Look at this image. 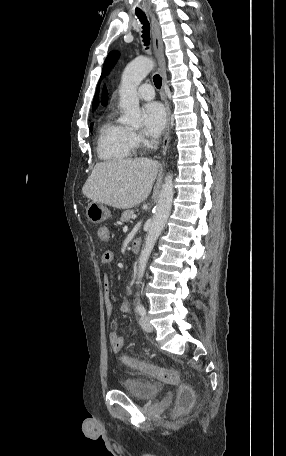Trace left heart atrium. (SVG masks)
<instances>
[{"mask_svg":"<svg viewBox=\"0 0 286 456\" xmlns=\"http://www.w3.org/2000/svg\"><path fill=\"white\" fill-rule=\"evenodd\" d=\"M142 117L147 135L156 137L162 132L166 124V112L160 103L146 104L142 109Z\"/></svg>","mask_w":286,"mask_h":456,"instance_id":"left-heart-atrium-1","label":"left heart atrium"}]
</instances>
